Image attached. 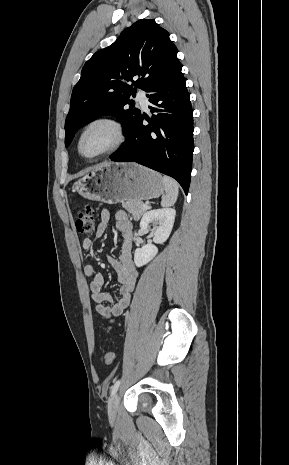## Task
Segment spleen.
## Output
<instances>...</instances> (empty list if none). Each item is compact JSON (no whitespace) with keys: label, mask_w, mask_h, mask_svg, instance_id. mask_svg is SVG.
<instances>
[{"label":"spleen","mask_w":289,"mask_h":465,"mask_svg":"<svg viewBox=\"0 0 289 465\" xmlns=\"http://www.w3.org/2000/svg\"><path fill=\"white\" fill-rule=\"evenodd\" d=\"M165 195L162 197L161 206L170 207L173 206L178 198L179 186L178 183L168 176L162 177Z\"/></svg>","instance_id":"obj_1"}]
</instances>
